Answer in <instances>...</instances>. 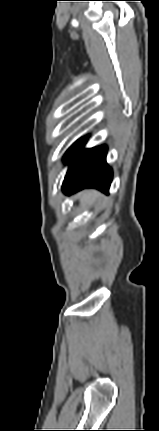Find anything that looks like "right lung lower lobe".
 <instances>
[{
    "mask_svg": "<svg viewBox=\"0 0 159 431\" xmlns=\"http://www.w3.org/2000/svg\"><path fill=\"white\" fill-rule=\"evenodd\" d=\"M86 141V137L76 141L64 157V162L69 164L62 187L66 194L90 187L109 191L113 173L106 162L107 147L84 149Z\"/></svg>",
    "mask_w": 159,
    "mask_h": 431,
    "instance_id": "obj_1",
    "label": "right lung lower lobe"
}]
</instances>
